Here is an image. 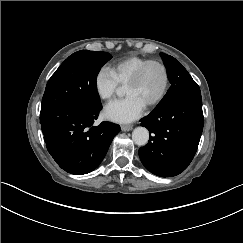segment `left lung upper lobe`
<instances>
[{
	"label": "left lung upper lobe",
	"mask_w": 243,
	"mask_h": 243,
	"mask_svg": "<svg viewBox=\"0 0 243 243\" xmlns=\"http://www.w3.org/2000/svg\"><path fill=\"white\" fill-rule=\"evenodd\" d=\"M160 55L167 69L168 79L171 86L157 107L163 105L169 98L179 93H201L197 83L174 57L164 53H161Z\"/></svg>",
	"instance_id": "5c2ea615"
}]
</instances>
